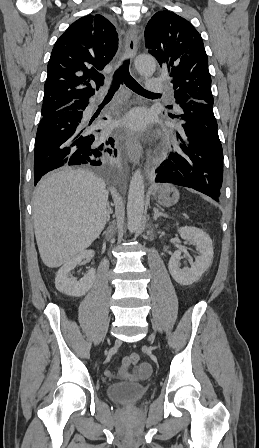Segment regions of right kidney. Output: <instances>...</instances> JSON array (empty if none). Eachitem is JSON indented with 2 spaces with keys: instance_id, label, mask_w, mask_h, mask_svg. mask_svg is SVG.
<instances>
[{
  "instance_id": "obj_1",
  "label": "right kidney",
  "mask_w": 259,
  "mask_h": 448,
  "mask_svg": "<svg viewBox=\"0 0 259 448\" xmlns=\"http://www.w3.org/2000/svg\"><path fill=\"white\" fill-rule=\"evenodd\" d=\"M94 258L93 250H85L81 254H77L75 258H72L70 262L64 264L60 270H58L55 278V286L59 292L67 294V296H85L86 292L92 288L95 280V270L91 268L88 274H85L81 280H74V278H69V272L76 268L77 264L83 262V260H92Z\"/></svg>"
}]
</instances>
